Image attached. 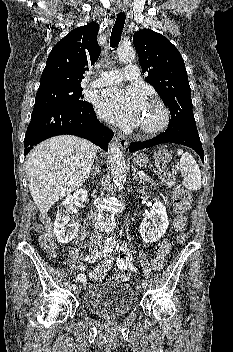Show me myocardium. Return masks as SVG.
Instances as JSON below:
<instances>
[{
  "mask_svg": "<svg viewBox=\"0 0 233 352\" xmlns=\"http://www.w3.org/2000/svg\"><path fill=\"white\" fill-rule=\"evenodd\" d=\"M147 102L157 107L160 117L153 125L139 126L138 130L144 135H153L160 132L167 126L170 120V112L164 102L157 97H151L147 100Z\"/></svg>",
  "mask_w": 233,
  "mask_h": 352,
  "instance_id": "1",
  "label": "myocardium"
}]
</instances>
